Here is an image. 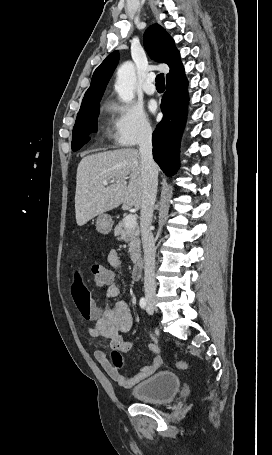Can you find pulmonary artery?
Listing matches in <instances>:
<instances>
[{"instance_id":"1","label":"pulmonary artery","mask_w":272,"mask_h":455,"mask_svg":"<svg viewBox=\"0 0 272 455\" xmlns=\"http://www.w3.org/2000/svg\"><path fill=\"white\" fill-rule=\"evenodd\" d=\"M154 80H155L154 75L150 74L147 76L146 81L143 84V90L145 93L152 95L156 92Z\"/></svg>"}]
</instances>
